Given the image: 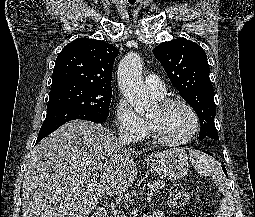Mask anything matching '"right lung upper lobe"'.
<instances>
[{
	"label": "right lung upper lobe",
	"mask_w": 255,
	"mask_h": 217,
	"mask_svg": "<svg viewBox=\"0 0 255 217\" xmlns=\"http://www.w3.org/2000/svg\"><path fill=\"white\" fill-rule=\"evenodd\" d=\"M118 53L115 46L104 41L78 38L57 56L51 87L78 84L112 89V68Z\"/></svg>",
	"instance_id": "1"
}]
</instances>
